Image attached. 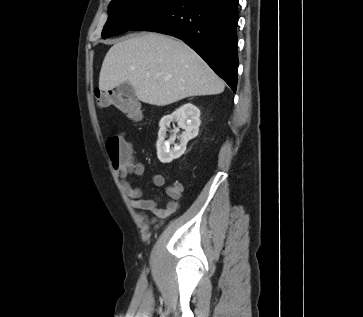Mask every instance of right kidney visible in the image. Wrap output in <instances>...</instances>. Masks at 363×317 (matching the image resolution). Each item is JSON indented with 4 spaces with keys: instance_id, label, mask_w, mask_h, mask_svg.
I'll return each mask as SVG.
<instances>
[{
    "instance_id": "1",
    "label": "right kidney",
    "mask_w": 363,
    "mask_h": 317,
    "mask_svg": "<svg viewBox=\"0 0 363 317\" xmlns=\"http://www.w3.org/2000/svg\"><path fill=\"white\" fill-rule=\"evenodd\" d=\"M171 122H177L185 131L181 135L180 143L170 148L169 141L165 140L167 128ZM157 156L160 162L170 163L184 154L189 140L198 135L200 126V110L193 104L187 103L176 109L172 114L164 116L159 123Z\"/></svg>"
}]
</instances>
